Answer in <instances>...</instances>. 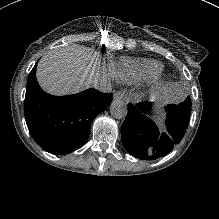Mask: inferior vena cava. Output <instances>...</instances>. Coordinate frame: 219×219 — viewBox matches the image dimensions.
<instances>
[{
  "label": "inferior vena cava",
  "instance_id": "obj_1",
  "mask_svg": "<svg viewBox=\"0 0 219 219\" xmlns=\"http://www.w3.org/2000/svg\"><path fill=\"white\" fill-rule=\"evenodd\" d=\"M92 87L102 93L112 92V84L104 78H98L93 81Z\"/></svg>",
  "mask_w": 219,
  "mask_h": 219
}]
</instances>
